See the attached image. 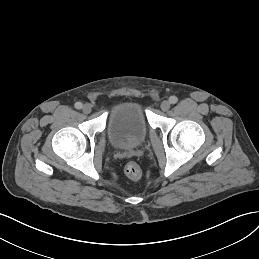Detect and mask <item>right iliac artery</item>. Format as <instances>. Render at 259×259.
<instances>
[{"label": "right iliac artery", "instance_id": "82829eb1", "mask_svg": "<svg viewBox=\"0 0 259 259\" xmlns=\"http://www.w3.org/2000/svg\"><path fill=\"white\" fill-rule=\"evenodd\" d=\"M83 107L82 103L81 102H76L75 103V108L76 109H81Z\"/></svg>", "mask_w": 259, "mask_h": 259}]
</instances>
